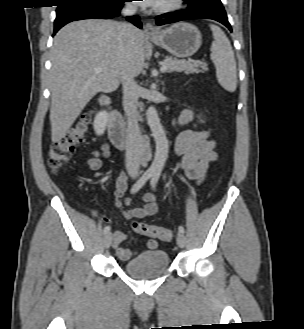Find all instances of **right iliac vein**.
<instances>
[{
	"instance_id": "obj_1",
	"label": "right iliac vein",
	"mask_w": 304,
	"mask_h": 329,
	"mask_svg": "<svg viewBox=\"0 0 304 329\" xmlns=\"http://www.w3.org/2000/svg\"><path fill=\"white\" fill-rule=\"evenodd\" d=\"M112 243V234L107 233L104 237V247L109 248Z\"/></svg>"
}]
</instances>
